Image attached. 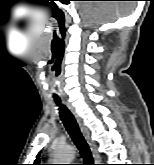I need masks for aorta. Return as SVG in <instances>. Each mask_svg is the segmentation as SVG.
<instances>
[{"label":"aorta","instance_id":"obj_1","mask_svg":"<svg viewBox=\"0 0 154 165\" xmlns=\"http://www.w3.org/2000/svg\"><path fill=\"white\" fill-rule=\"evenodd\" d=\"M75 157V149L72 146H63L55 150L53 164H71Z\"/></svg>","mask_w":154,"mask_h":165}]
</instances>
